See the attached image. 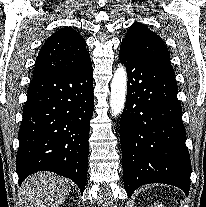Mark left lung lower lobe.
Returning <instances> with one entry per match:
<instances>
[{
	"instance_id": "left-lung-lower-lobe-1",
	"label": "left lung lower lobe",
	"mask_w": 206,
	"mask_h": 207,
	"mask_svg": "<svg viewBox=\"0 0 206 207\" xmlns=\"http://www.w3.org/2000/svg\"><path fill=\"white\" fill-rule=\"evenodd\" d=\"M119 58L128 74L127 99L120 122L128 196L149 183L170 184L188 195L191 163L173 68L122 49Z\"/></svg>"
}]
</instances>
